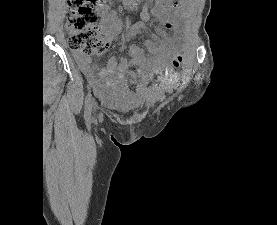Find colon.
<instances>
[{
  "instance_id": "1",
  "label": "colon",
  "mask_w": 277,
  "mask_h": 225,
  "mask_svg": "<svg viewBox=\"0 0 277 225\" xmlns=\"http://www.w3.org/2000/svg\"><path fill=\"white\" fill-rule=\"evenodd\" d=\"M101 0H68L66 31L69 48L77 55L101 54L107 48L97 25L95 10ZM183 62L178 55L173 60L175 68Z\"/></svg>"
}]
</instances>
